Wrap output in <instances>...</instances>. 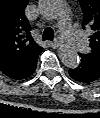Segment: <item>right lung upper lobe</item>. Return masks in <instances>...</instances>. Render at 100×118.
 Segmentation results:
<instances>
[{"label": "right lung upper lobe", "mask_w": 100, "mask_h": 118, "mask_svg": "<svg viewBox=\"0 0 100 118\" xmlns=\"http://www.w3.org/2000/svg\"><path fill=\"white\" fill-rule=\"evenodd\" d=\"M27 4L28 0H0V70L16 80L26 76L42 52L30 33Z\"/></svg>", "instance_id": "obj_1"}]
</instances>
